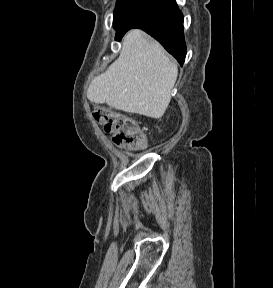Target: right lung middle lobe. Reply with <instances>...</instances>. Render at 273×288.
<instances>
[{
  "label": "right lung middle lobe",
  "instance_id": "right-lung-middle-lobe-1",
  "mask_svg": "<svg viewBox=\"0 0 273 288\" xmlns=\"http://www.w3.org/2000/svg\"><path fill=\"white\" fill-rule=\"evenodd\" d=\"M138 0H117L114 10L113 25L114 27L120 23L128 11L135 5Z\"/></svg>",
  "mask_w": 273,
  "mask_h": 288
}]
</instances>
